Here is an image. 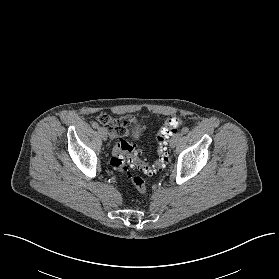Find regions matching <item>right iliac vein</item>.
<instances>
[{
  "label": "right iliac vein",
  "mask_w": 279,
  "mask_h": 279,
  "mask_svg": "<svg viewBox=\"0 0 279 279\" xmlns=\"http://www.w3.org/2000/svg\"><path fill=\"white\" fill-rule=\"evenodd\" d=\"M98 132H99L101 138H102L104 141H106V140H107V137H108V136H107L106 130H105L104 128H99V129H98Z\"/></svg>",
  "instance_id": "right-iliac-vein-1"
}]
</instances>
